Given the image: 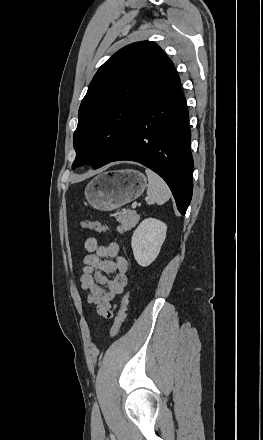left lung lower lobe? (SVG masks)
<instances>
[{
    "label": "left lung lower lobe",
    "mask_w": 263,
    "mask_h": 440,
    "mask_svg": "<svg viewBox=\"0 0 263 440\" xmlns=\"http://www.w3.org/2000/svg\"><path fill=\"white\" fill-rule=\"evenodd\" d=\"M190 140L186 99L172 65L134 120L128 142L108 163L135 161L156 172L170 187L184 215L193 192Z\"/></svg>",
    "instance_id": "left-lung-lower-lobe-1"
}]
</instances>
